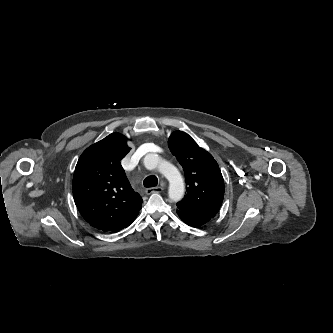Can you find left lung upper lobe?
Instances as JSON below:
<instances>
[{
  "mask_svg": "<svg viewBox=\"0 0 333 333\" xmlns=\"http://www.w3.org/2000/svg\"><path fill=\"white\" fill-rule=\"evenodd\" d=\"M168 146L183 167L187 185V193L177 208L213 218L224 197V180L217 162L182 131L171 134Z\"/></svg>",
  "mask_w": 333,
  "mask_h": 333,
  "instance_id": "5c2ea615",
  "label": "left lung upper lobe"
}]
</instances>
